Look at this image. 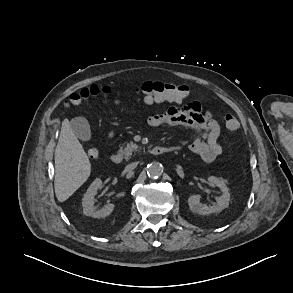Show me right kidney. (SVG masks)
<instances>
[{
	"label": "right kidney",
	"mask_w": 293,
	"mask_h": 293,
	"mask_svg": "<svg viewBox=\"0 0 293 293\" xmlns=\"http://www.w3.org/2000/svg\"><path fill=\"white\" fill-rule=\"evenodd\" d=\"M102 186V181L100 179H95L93 183L87 189L86 194L82 199L83 213L86 216H91L93 218H103L112 213L115 205L110 203L106 204L101 209H96L94 207L95 198L97 190Z\"/></svg>",
	"instance_id": "right-kidney-1"
}]
</instances>
